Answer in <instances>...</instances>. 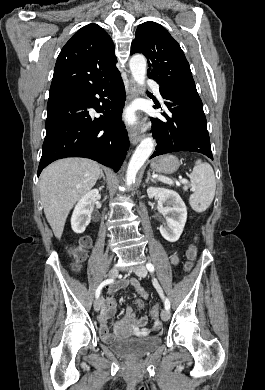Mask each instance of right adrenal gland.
Masks as SVG:
<instances>
[{
	"instance_id": "right-adrenal-gland-1",
	"label": "right adrenal gland",
	"mask_w": 265,
	"mask_h": 390,
	"mask_svg": "<svg viewBox=\"0 0 265 390\" xmlns=\"http://www.w3.org/2000/svg\"><path fill=\"white\" fill-rule=\"evenodd\" d=\"M101 178H103V180L105 181V175H104V173H103V170H102V169L100 170V176H99V180H100Z\"/></svg>"
}]
</instances>
